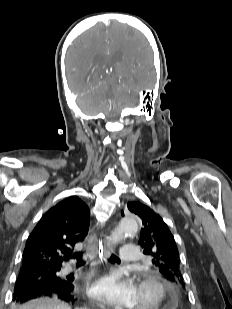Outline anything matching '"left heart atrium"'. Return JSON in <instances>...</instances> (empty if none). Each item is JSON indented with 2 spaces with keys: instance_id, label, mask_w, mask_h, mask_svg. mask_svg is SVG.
<instances>
[{
  "instance_id": "39dd6f15",
  "label": "left heart atrium",
  "mask_w": 232,
  "mask_h": 309,
  "mask_svg": "<svg viewBox=\"0 0 232 309\" xmlns=\"http://www.w3.org/2000/svg\"><path fill=\"white\" fill-rule=\"evenodd\" d=\"M88 293L94 299L115 309L134 308L137 287L129 279L111 273L95 279Z\"/></svg>"
}]
</instances>
